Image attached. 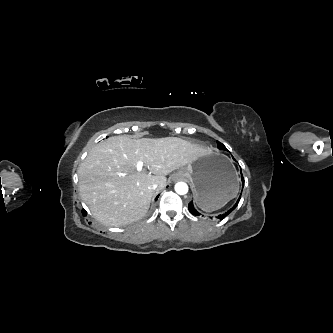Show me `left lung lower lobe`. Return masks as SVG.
Returning a JSON list of instances; mask_svg holds the SVG:
<instances>
[{"mask_svg": "<svg viewBox=\"0 0 333 333\" xmlns=\"http://www.w3.org/2000/svg\"><path fill=\"white\" fill-rule=\"evenodd\" d=\"M241 180H242L243 185H244V178H243V176H242ZM240 198H241V195H240L239 199L237 200L236 204L230 210H228L227 212H224V213L218 215L217 218L218 219H224L228 214H230L237 207V205H238V203L240 201ZM188 209H189V211L193 215H195V216H199L200 215V213L194 208V205H193L192 201L188 204Z\"/></svg>", "mask_w": 333, "mask_h": 333, "instance_id": "obj_1", "label": "left lung lower lobe"}]
</instances>
